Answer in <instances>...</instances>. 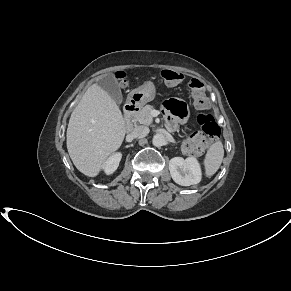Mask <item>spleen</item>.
Segmentation results:
<instances>
[{
	"mask_svg": "<svg viewBox=\"0 0 291 291\" xmlns=\"http://www.w3.org/2000/svg\"><path fill=\"white\" fill-rule=\"evenodd\" d=\"M224 157V148L220 140L213 143L210 148L207 150L204 159L205 174L207 177L214 175L223 160Z\"/></svg>",
	"mask_w": 291,
	"mask_h": 291,
	"instance_id": "1",
	"label": "spleen"
}]
</instances>
